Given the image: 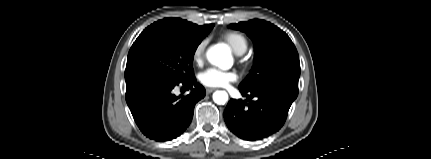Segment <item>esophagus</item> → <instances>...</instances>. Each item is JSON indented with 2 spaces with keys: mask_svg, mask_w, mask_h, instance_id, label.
<instances>
[{
  "mask_svg": "<svg viewBox=\"0 0 431 159\" xmlns=\"http://www.w3.org/2000/svg\"><path fill=\"white\" fill-rule=\"evenodd\" d=\"M215 90V88H206V93L210 94Z\"/></svg>",
  "mask_w": 431,
  "mask_h": 159,
  "instance_id": "obj_1",
  "label": "esophagus"
}]
</instances>
